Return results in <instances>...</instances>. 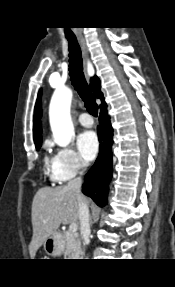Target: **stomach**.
Wrapping results in <instances>:
<instances>
[{"label":"stomach","instance_id":"stomach-1","mask_svg":"<svg viewBox=\"0 0 175 287\" xmlns=\"http://www.w3.org/2000/svg\"><path fill=\"white\" fill-rule=\"evenodd\" d=\"M43 247L48 255L59 256L64 251L65 239L59 232H55L44 241Z\"/></svg>","mask_w":175,"mask_h":287}]
</instances>
